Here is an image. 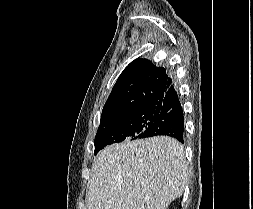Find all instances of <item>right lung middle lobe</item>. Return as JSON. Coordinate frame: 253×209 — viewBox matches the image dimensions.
Returning a JSON list of instances; mask_svg holds the SVG:
<instances>
[{"label": "right lung middle lobe", "mask_w": 253, "mask_h": 209, "mask_svg": "<svg viewBox=\"0 0 253 209\" xmlns=\"http://www.w3.org/2000/svg\"><path fill=\"white\" fill-rule=\"evenodd\" d=\"M158 116L153 106H143L132 109L118 117L100 122L95 136L96 155L108 145L122 142L125 139L135 140L150 127Z\"/></svg>", "instance_id": "1"}]
</instances>
